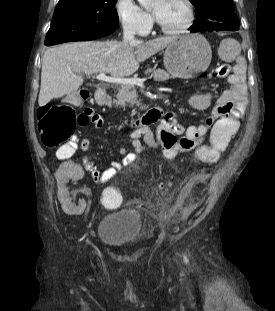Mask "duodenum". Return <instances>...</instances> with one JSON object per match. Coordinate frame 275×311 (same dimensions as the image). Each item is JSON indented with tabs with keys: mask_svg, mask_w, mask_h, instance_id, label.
Returning a JSON list of instances; mask_svg holds the SVG:
<instances>
[{
	"mask_svg": "<svg viewBox=\"0 0 275 311\" xmlns=\"http://www.w3.org/2000/svg\"><path fill=\"white\" fill-rule=\"evenodd\" d=\"M69 98L70 99L73 98V95L69 96ZM96 98H97V101L100 102V103H106L109 100V98H107V96H106L105 90L103 88H101V87L98 88L97 91H96ZM156 109H159V108H153V109L149 110L142 117L136 119L135 122H134V125L135 126H144L145 125V120L147 119L148 114L152 113V112H156Z\"/></svg>",
	"mask_w": 275,
	"mask_h": 311,
	"instance_id": "410a0bca",
	"label": "duodenum"
}]
</instances>
